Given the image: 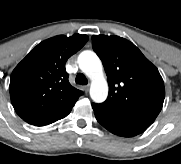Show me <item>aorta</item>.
Wrapping results in <instances>:
<instances>
[{"mask_svg":"<svg viewBox=\"0 0 181 164\" xmlns=\"http://www.w3.org/2000/svg\"><path fill=\"white\" fill-rule=\"evenodd\" d=\"M83 73L91 79L90 96L96 103H102L108 95V84L104 77L99 57L92 51H83L78 57Z\"/></svg>","mask_w":181,"mask_h":164,"instance_id":"762f6f07","label":"aorta"}]
</instances>
